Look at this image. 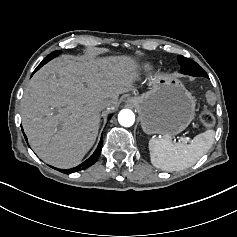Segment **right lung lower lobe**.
Instances as JSON below:
<instances>
[{
  "instance_id": "obj_1",
  "label": "right lung lower lobe",
  "mask_w": 237,
  "mask_h": 237,
  "mask_svg": "<svg viewBox=\"0 0 237 237\" xmlns=\"http://www.w3.org/2000/svg\"><path fill=\"white\" fill-rule=\"evenodd\" d=\"M24 137L27 141L26 135H24ZM102 145H103V136L101 137L99 145H98L97 149L95 150V152L90 156L89 159L84 161L82 164H80L79 166H77L75 168L66 169V170L65 169H57V168H55V169L59 170L62 173L70 174V173L78 172L80 170H84V169L90 167L91 165H93L98 160V158L100 156V153H101V150H102Z\"/></svg>"
}]
</instances>
